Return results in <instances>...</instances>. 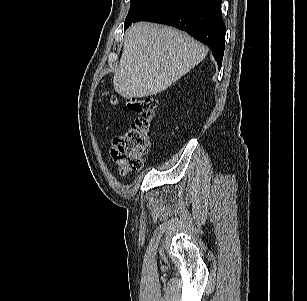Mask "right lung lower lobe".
<instances>
[{
	"label": "right lung lower lobe",
	"instance_id": "obj_1",
	"mask_svg": "<svg viewBox=\"0 0 307 301\" xmlns=\"http://www.w3.org/2000/svg\"><path fill=\"white\" fill-rule=\"evenodd\" d=\"M221 2L222 0H165L134 22L152 21L186 31L210 47L220 68L226 32L221 16ZM130 25L125 26V29Z\"/></svg>",
	"mask_w": 307,
	"mask_h": 301
}]
</instances>
